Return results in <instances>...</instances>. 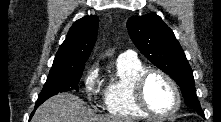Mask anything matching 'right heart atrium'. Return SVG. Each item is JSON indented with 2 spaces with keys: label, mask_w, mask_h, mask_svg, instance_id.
<instances>
[{
  "label": "right heart atrium",
  "mask_w": 221,
  "mask_h": 122,
  "mask_svg": "<svg viewBox=\"0 0 221 122\" xmlns=\"http://www.w3.org/2000/svg\"><path fill=\"white\" fill-rule=\"evenodd\" d=\"M98 77V70L96 67H92L86 74L84 84L86 92L90 95H94V86Z\"/></svg>",
  "instance_id": "d8ad5b80"
}]
</instances>
